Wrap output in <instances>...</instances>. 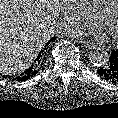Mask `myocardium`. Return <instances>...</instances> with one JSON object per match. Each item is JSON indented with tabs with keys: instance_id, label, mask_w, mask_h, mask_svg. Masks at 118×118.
<instances>
[{
	"instance_id": "f54148a6",
	"label": "myocardium",
	"mask_w": 118,
	"mask_h": 118,
	"mask_svg": "<svg viewBox=\"0 0 118 118\" xmlns=\"http://www.w3.org/2000/svg\"><path fill=\"white\" fill-rule=\"evenodd\" d=\"M98 31L106 30L112 41L118 44V0H113L107 17L103 21H96Z\"/></svg>"
}]
</instances>
